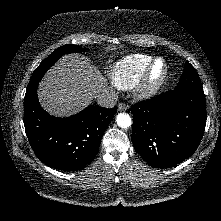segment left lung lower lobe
I'll list each match as a JSON object with an SVG mask.
<instances>
[{"label": "left lung lower lobe", "mask_w": 221, "mask_h": 221, "mask_svg": "<svg viewBox=\"0 0 221 221\" xmlns=\"http://www.w3.org/2000/svg\"><path fill=\"white\" fill-rule=\"evenodd\" d=\"M132 142L150 166L166 168L189 158L206 125L204 93L174 89L131 108Z\"/></svg>", "instance_id": "1"}]
</instances>
